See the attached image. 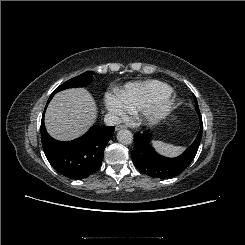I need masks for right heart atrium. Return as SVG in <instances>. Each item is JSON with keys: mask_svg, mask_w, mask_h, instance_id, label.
<instances>
[{"mask_svg": "<svg viewBox=\"0 0 245 245\" xmlns=\"http://www.w3.org/2000/svg\"><path fill=\"white\" fill-rule=\"evenodd\" d=\"M104 102L106 109L112 115L124 116L127 112H130L117 93H107Z\"/></svg>", "mask_w": 245, "mask_h": 245, "instance_id": "right-heart-atrium-1", "label": "right heart atrium"}]
</instances>
